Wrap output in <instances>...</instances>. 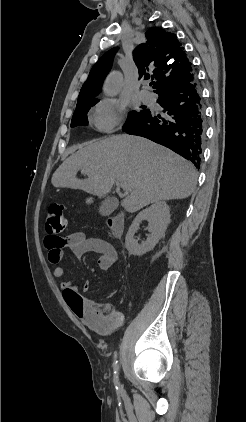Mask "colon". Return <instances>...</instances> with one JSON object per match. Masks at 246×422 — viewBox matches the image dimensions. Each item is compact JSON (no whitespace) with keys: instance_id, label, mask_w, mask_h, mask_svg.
<instances>
[{"instance_id":"colon-1","label":"colon","mask_w":246,"mask_h":422,"mask_svg":"<svg viewBox=\"0 0 246 422\" xmlns=\"http://www.w3.org/2000/svg\"><path fill=\"white\" fill-rule=\"evenodd\" d=\"M46 229L50 234H59L66 227L64 207L60 203H52L47 208Z\"/></svg>"}]
</instances>
